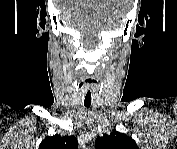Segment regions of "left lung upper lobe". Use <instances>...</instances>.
I'll use <instances>...</instances> for the list:
<instances>
[{
	"label": "left lung upper lobe",
	"instance_id": "obj_1",
	"mask_svg": "<svg viewBox=\"0 0 177 149\" xmlns=\"http://www.w3.org/2000/svg\"><path fill=\"white\" fill-rule=\"evenodd\" d=\"M95 144L96 149H138L131 137L118 131L97 138Z\"/></svg>",
	"mask_w": 177,
	"mask_h": 149
}]
</instances>
